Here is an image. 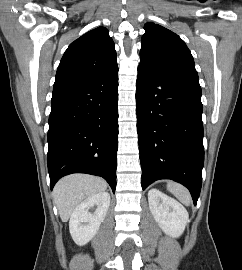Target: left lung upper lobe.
<instances>
[{"label": "left lung upper lobe", "mask_w": 242, "mask_h": 270, "mask_svg": "<svg viewBox=\"0 0 242 270\" xmlns=\"http://www.w3.org/2000/svg\"><path fill=\"white\" fill-rule=\"evenodd\" d=\"M140 64L161 73L199 84L190 50L172 31L152 22L144 26Z\"/></svg>", "instance_id": "1"}]
</instances>
